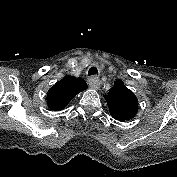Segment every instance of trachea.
<instances>
[{"mask_svg": "<svg viewBox=\"0 0 177 177\" xmlns=\"http://www.w3.org/2000/svg\"><path fill=\"white\" fill-rule=\"evenodd\" d=\"M97 73V69L95 67H91L88 71V75H95Z\"/></svg>", "mask_w": 177, "mask_h": 177, "instance_id": "trachea-1", "label": "trachea"}]
</instances>
